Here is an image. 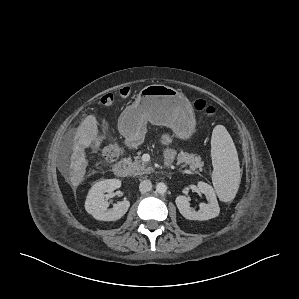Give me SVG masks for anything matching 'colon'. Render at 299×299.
Masks as SVG:
<instances>
[{
  "label": "colon",
  "instance_id": "1",
  "mask_svg": "<svg viewBox=\"0 0 299 299\" xmlns=\"http://www.w3.org/2000/svg\"><path fill=\"white\" fill-rule=\"evenodd\" d=\"M129 88H123L120 90L119 97L126 98L129 95ZM116 101V96L114 94H105L101 97L100 102L105 106H110ZM195 110L203 112L205 115L211 117L216 114V109L213 106L207 104L205 100L197 99L194 102ZM121 155L120 147L114 142H108L102 152V162L107 165L115 161Z\"/></svg>",
  "mask_w": 299,
  "mask_h": 299
}]
</instances>
